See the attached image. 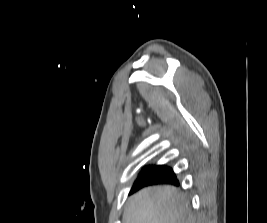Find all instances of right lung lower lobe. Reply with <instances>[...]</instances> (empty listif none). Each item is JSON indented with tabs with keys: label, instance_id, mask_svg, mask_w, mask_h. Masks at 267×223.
I'll return each instance as SVG.
<instances>
[{
	"label": "right lung lower lobe",
	"instance_id": "obj_1",
	"mask_svg": "<svg viewBox=\"0 0 267 223\" xmlns=\"http://www.w3.org/2000/svg\"><path fill=\"white\" fill-rule=\"evenodd\" d=\"M162 183H170L173 185H178V180L176 175L172 171L171 173H161V172H141L139 178L134 183L131 193L148 185L153 184H162Z\"/></svg>",
	"mask_w": 267,
	"mask_h": 223
}]
</instances>
